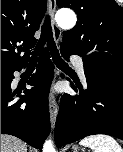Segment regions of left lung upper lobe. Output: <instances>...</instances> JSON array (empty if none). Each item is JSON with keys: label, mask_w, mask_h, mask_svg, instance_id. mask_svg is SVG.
Segmentation results:
<instances>
[{"label": "left lung upper lobe", "mask_w": 123, "mask_h": 152, "mask_svg": "<svg viewBox=\"0 0 123 152\" xmlns=\"http://www.w3.org/2000/svg\"><path fill=\"white\" fill-rule=\"evenodd\" d=\"M57 5L78 17L61 46L93 69L123 74V8L114 0H57Z\"/></svg>", "instance_id": "5c2ea615"}]
</instances>
